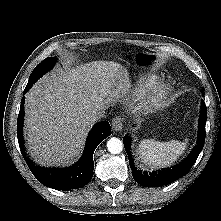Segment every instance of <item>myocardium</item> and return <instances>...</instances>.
Returning a JSON list of instances; mask_svg holds the SVG:
<instances>
[{
	"instance_id": "f54148a6",
	"label": "myocardium",
	"mask_w": 221,
	"mask_h": 221,
	"mask_svg": "<svg viewBox=\"0 0 221 221\" xmlns=\"http://www.w3.org/2000/svg\"><path fill=\"white\" fill-rule=\"evenodd\" d=\"M170 92L171 85L168 82L160 81L154 84L144 100L145 109H155L162 106Z\"/></svg>"
}]
</instances>
